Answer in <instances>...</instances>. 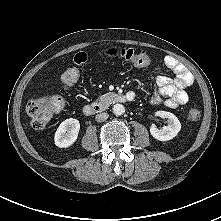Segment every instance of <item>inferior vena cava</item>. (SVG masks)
Masks as SVG:
<instances>
[{
	"instance_id": "inferior-vena-cava-1",
	"label": "inferior vena cava",
	"mask_w": 221,
	"mask_h": 221,
	"mask_svg": "<svg viewBox=\"0 0 221 221\" xmlns=\"http://www.w3.org/2000/svg\"><path fill=\"white\" fill-rule=\"evenodd\" d=\"M109 117L108 113L104 112V113H100L97 114L95 119L97 122H104L105 120H107Z\"/></svg>"
}]
</instances>
